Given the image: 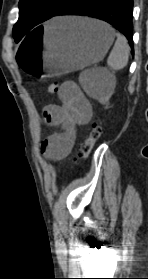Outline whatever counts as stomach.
I'll use <instances>...</instances> for the list:
<instances>
[{
  "mask_svg": "<svg viewBox=\"0 0 148 279\" xmlns=\"http://www.w3.org/2000/svg\"><path fill=\"white\" fill-rule=\"evenodd\" d=\"M17 48V72L25 82H44L98 63L111 47L115 33L104 22L80 18H58L36 24Z\"/></svg>",
  "mask_w": 148,
  "mask_h": 279,
  "instance_id": "1",
  "label": "stomach"
}]
</instances>
